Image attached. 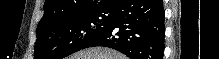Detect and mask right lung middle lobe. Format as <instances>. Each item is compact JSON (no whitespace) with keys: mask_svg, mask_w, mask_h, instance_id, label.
Listing matches in <instances>:
<instances>
[{"mask_svg":"<svg viewBox=\"0 0 219 59\" xmlns=\"http://www.w3.org/2000/svg\"><path fill=\"white\" fill-rule=\"evenodd\" d=\"M111 10L60 18L37 26L35 59H62L105 31Z\"/></svg>","mask_w":219,"mask_h":59,"instance_id":"dd1d6c3e","label":"right lung middle lobe"}]
</instances>
